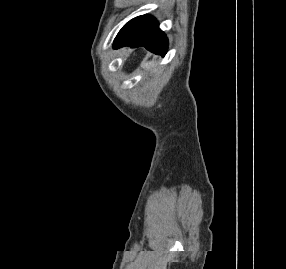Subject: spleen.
I'll list each match as a JSON object with an SVG mask.
<instances>
[{
    "label": "spleen",
    "instance_id": "1",
    "mask_svg": "<svg viewBox=\"0 0 286 269\" xmlns=\"http://www.w3.org/2000/svg\"><path fill=\"white\" fill-rule=\"evenodd\" d=\"M154 63L153 62H147L145 64H143V68L146 70H152L154 68Z\"/></svg>",
    "mask_w": 286,
    "mask_h": 269
}]
</instances>
